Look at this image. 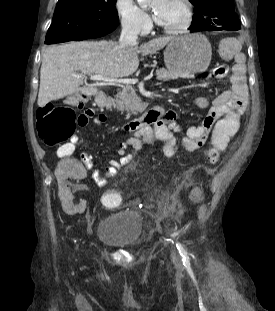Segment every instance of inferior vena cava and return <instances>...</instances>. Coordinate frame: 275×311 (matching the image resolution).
I'll return each mask as SVG.
<instances>
[{"label":"inferior vena cava","mask_w":275,"mask_h":311,"mask_svg":"<svg viewBox=\"0 0 275 311\" xmlns=\"http://www.w3.org/2000/svg\"><path fill=\"white\" fill-rule=\"evenodd\" d=\"M139 30L134 27L123 26L119 44L123 47L134 45L138 39Z\"/></svg>","instance_id":"602c4592"}]
</instances>
